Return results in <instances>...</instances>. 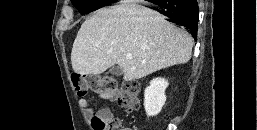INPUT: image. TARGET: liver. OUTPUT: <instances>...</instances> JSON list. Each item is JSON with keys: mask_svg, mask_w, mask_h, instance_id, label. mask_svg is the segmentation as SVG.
Wrapping results in <instances>:
<instances>
[{"mask_svg": "<svg viewBox=\"0 0 257 130\" xmlns=\"http://www.w3.org/2000/svg\"><path fill=\"white\" fill-rule=\"evenodd\" d=\"M193 38L157 11L124 2L98 10L85 20L74 40L71 63L75 73L96 75L118 64L125 81L187 63ZM131 54L132 59H127Z\"/></svg>", "mask_w": 257, "mask_h": 130, "instance_id": "6515ba94", "label": "liver"}]
</instances>
